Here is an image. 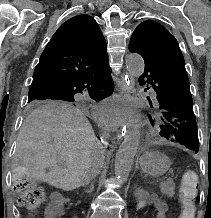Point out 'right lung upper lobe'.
<instances>
[{"label": "right lung upper lobe", "instance_id": "1", "mask_svg": "<svg viewBox=\"0 0 211 218\" xmlns=\"http://www.w3.org/2000/svg\"><path fill=\"white\" fill-rule=\"evenodd\" d=\"M106 62V42L97 22L86 14L74 16L60 26L41 54L28 101L47 97L48 91Z\"/></svg>", "mask_w": 211, "mask_h": 218}]
</instances>
